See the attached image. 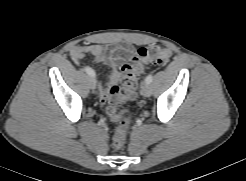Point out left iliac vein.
I'll return each mask as SVG.
<instances>
[{
    "mask_svg": "<svg viewBox=\"0 0 246 181\" xmlns=\"http://www.w3.org/2000/svg\"><path fill=\"white\" fill-rule=\"evenodd\" d=\"M140 92L143 96L149 97L152 93L151 86L147 83L142 84Z\"/></svg>",
    "mask_w": 246,
    "mask_h": 181,
    "instance_id": "obj_1",
    "label": "left iliac vein"
}]
</instances>
